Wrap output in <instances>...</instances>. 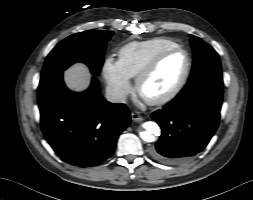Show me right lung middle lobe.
Listing matches in <instances>:
<instances>
[{"instance_id": "dd1d6c3e", "label": "right lung middle lobe", "mask_w": 253, "mask_h": 200, "mask_svg": "<svg viewBox=\"0 0 253 200\" xmlns=\"http://www.w3.org/2000/svg\"><path fill=\"white\" fill-rule=\"evenodd\" d=\"M112 35V31L89 30L67 37L49 53L41 77L61 73L75 62L85 63L93 75H98Z\"/></svg>"}]
</instances>
